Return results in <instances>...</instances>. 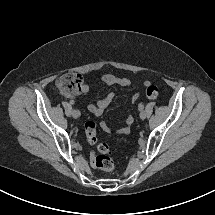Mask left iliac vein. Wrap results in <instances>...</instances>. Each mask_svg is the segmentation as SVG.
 Wrapping results in <instances>:
<instances>
[{"label": "left iliac vein", "instance_id": "left-iliac-vein-1", "mask_svg": "<svg viewBox=\"0 0 215 215\" xmlns=\"http://www.w3.org/2000/svg\"><path fill=\"white\" fill-rule=\"evenodd\" d=\"M140 118L145 119L146 118V113L143 111L140 113Z\"/></svg>", "mask_w": 215, "mask_h": 215}]
</instances>
